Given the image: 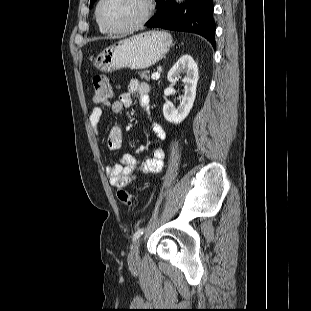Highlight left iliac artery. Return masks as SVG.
Segmentation results:
<instances>
[{
	"instance_id": "left-iliac-artery-1",
	"label": "left iliac artery",
	"mask_w": 311,
	"mask_h": 311,
	"mask_svg": "<svg viewBox=\"0 0 311 311\" xmlns=\"http://www.w3.org/2000/svg\"><path fill=\"white\" fill-rule=\"evenodd\" d=\"M143 233H144V228L138 229L133 236V242L136 241Z\"/></svg>"
}]
</instances>
